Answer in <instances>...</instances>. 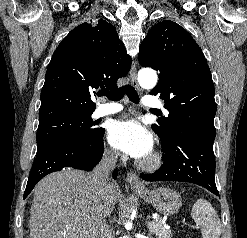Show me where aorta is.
<instances>
[{"instance_id":"obj_1","label":"aorta","mask_w":247,"mask_h":238,"mask_svg":"<svg viewBox=\"0 0 247 238\" xmlns=\"http://www.w3.org/2000/svg\"><path fill=\"white\" fill-rule=\"evenodd\" d=\"M138 81L143 88L152 89L157 83V75L151 69H142L138 73Z\"/></svg>"}]
</instances>
